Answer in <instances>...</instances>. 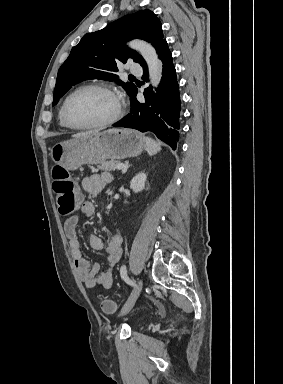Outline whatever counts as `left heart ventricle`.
I'll return each instance as SVG.
<instances>
[{
	"instance_id": "b2bd125f",
	"label": "left heart ventricle",
	"mask_w": 283,
	"mask_h": 384,
	"mask_svg": "<svg viewBox=\"0 0 283 384\" xmlns=\"http://www.w3.org/2000/svg\"><path fill=\"white\" fill-rule=\"evenodd\" d=\"M114 111L111 97L98 90L76 94L67 107V119L74 126H87L109 118Z\"/></svg>"
}]
</instances>
